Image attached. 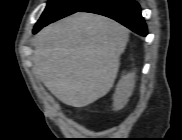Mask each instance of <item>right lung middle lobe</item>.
<instances>
[{"instance_id":"right-lung-middle-lobe-1","label":"right lung middle lobe","mask_w":182,"mask_h":140,"mask_svg":"<svg viewBox=\"0 0 182 140\" xmlns=\"http://www.w3.org/2000/svg\"><path fill=\"white\" fill-rule=\"evenodd\" d=\"M91 1L92 0H49L34 29H41L56 20L73 14Z\"/></svg>"}]
</instances>
